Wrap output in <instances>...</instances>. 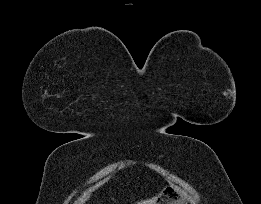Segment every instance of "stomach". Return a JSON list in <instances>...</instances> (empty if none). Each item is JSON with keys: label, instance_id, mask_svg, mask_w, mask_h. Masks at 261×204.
<instances>
[{"label": "stomach", "instance_id": "stomach-1", "mask_svg": "<svg viewBox=\"0 0 261 204\" xmlns=\"http://www.w3.org/2000/svg\"><path fill=\"white\" fill-rule=\"evenodd\" d=\"M154 204H187V201L179 196L175 186L169 185L162 190Z\"/></svg>", "mask_w": 261, "mask_h": 204}]
</instances>
